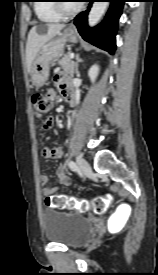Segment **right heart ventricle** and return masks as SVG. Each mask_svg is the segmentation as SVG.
Returning a JSON list of instances; mask_svg holds the SVG:
<instances>
[{
  "label": "right heart ventricle",
  "instance_id": "right-heart-ventricle-1",
  "mask_svg": "<svg viewBox=\"0 0 158 275\" xmlns=\"http://www.w3.org/2000/svg\"><path fill=\"white\" fill-rule=\"evenodd\" d=\"M54 0H39L35 5L38 18L44 22H58L62 16L58 14L54 7Z\"/></svg>",
  "mask_w": 158,
  "mask_h": 275
}]
</instances>
